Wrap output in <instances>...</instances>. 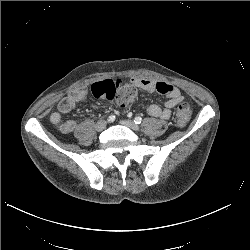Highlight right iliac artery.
I'll return each mask as SVG.
<instances>
[{
	"label": "right iliac artery",
	"mask_w": 250,
	"mask_h": 250,
	"mask_svg": "<svg viewBox=\"0 0 250 250\" xmlns=\"http://www.w3.org/2000/svg\"><path fill=\"white\" fill-rule=\"evenodd\" d=\"M115 120V116L114 115H110L108 117V122H113Z\"/></svg>",
	"instance_id": "obj_1"
}]
</instances>
